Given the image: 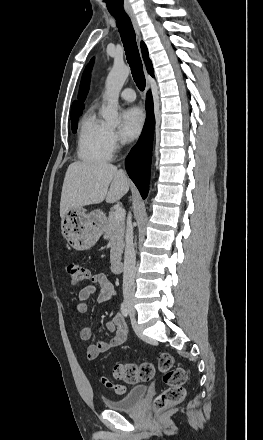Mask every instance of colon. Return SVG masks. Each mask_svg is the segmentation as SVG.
Returning <instances> with one entry per match:
<instances>
[{
  "instance_id": "5ec220e1",
  "label": "colon",
  "mask_w": 263,
  "mask_h": 440,
  "mask_svg": "<svg viewBox=\"0 0 263 440\" xmlns=\"http://www.w3.org/2000/svg\"><path fill=\"white\" fill-rule=\"evenodd\" d=\"M67 276L73 286H80L89 276L88 270L76 263L65 267ZM158 369L163 374V383L166 388L154 399L153 408L162 411L170 406L180 404L185 398L184 384L186 372L182 367L174 364V359L169 353H161L158 358ZM156 369L149 362L144 363H119L113 368V376L128 384L147 382L153 379ZM102 384L113 389L116 393H123L124 386L116 384L106 377L101 378Z\"/></svg>"
}]
</instances>
